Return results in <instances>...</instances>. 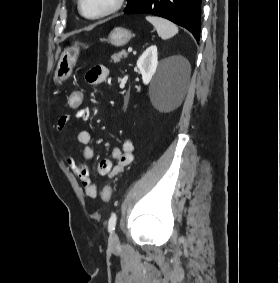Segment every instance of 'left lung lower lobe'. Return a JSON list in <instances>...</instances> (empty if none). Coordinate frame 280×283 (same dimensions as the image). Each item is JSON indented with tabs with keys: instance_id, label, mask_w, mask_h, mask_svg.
<instances>
[{
	"instance_id": "1",
	"label": "left lung lower lobe",
	"mask_w": 280,
	"mask_h": 283,
	"mask_svg": "<svg viewBox=\"0 0 280 283\" xmlns=\"http://www.w3.org/2000/svg\"><path fill=\"white\" fill-rule=\"evenodd\" d=\"M202 0H137L125 13H146L164 17L186 28L199 41Z\"/></svg>"
}]
</instances>
